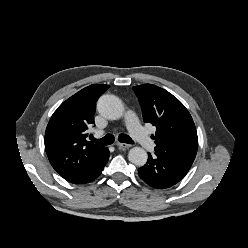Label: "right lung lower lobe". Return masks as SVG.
<instances>
[{"instance_id":"98d812e1","label":"right lung lower lobe","mask_w":248,"mask_h":248,"mask_svg":"<svg viewBox=\"0 0 248 248\" xmlns=\"http://www.w3.org/2000/svg\"><path fill=\"white\" fill-rule=\"evenodd\" d=\"M109 159V150L106 149L104 154L100 157V159L89 169V171L80 179H78L75 182H72L74 184H85L92 182L95 178H97L104 166L106 165L107 161Z\"/></svg>"}]
</instances>
